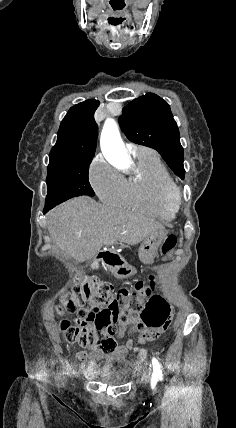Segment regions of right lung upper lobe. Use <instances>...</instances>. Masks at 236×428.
<instances>
[{"instance_id":"cb5924a9","label":"right lung upper lobe","mask_w":236,"mask_h":428,"mask_svg":"<svg viewBox=\"0 0 236 428\" xmlns=\"http://www.w3.org/2000/svg\"><path fill=\"white\" fill-rule=\"evenodd\" d=\"M98 106L99 101L90 99L70 108L60 124L50 160L92 159L98 136V126L94 120Z\"/></svg>"}]
</instances>
